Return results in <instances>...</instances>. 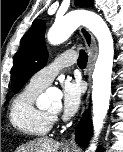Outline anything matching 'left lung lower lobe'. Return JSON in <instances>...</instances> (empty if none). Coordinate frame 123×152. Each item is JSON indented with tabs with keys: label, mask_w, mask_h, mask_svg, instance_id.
Instances as JSON below:
<instances>
[{
	"label": "left lung lower lobe",
	"mask_w": 123,
	"mask_h": 152,
	"mask_svg": "<svg viewBox=\"0 0 123 152\" xmlns=\"http://www.w3.org/2000/svg\"><path fill=\"white\" fill-rule=\"evenodd\" d=\"M76 142L82 146L87 147L92 135V122L89 113H85L76 129ZM100 150V149H98Z\"/></svg>",
	"instance_id": "0a47b994"
}]
</instances>
